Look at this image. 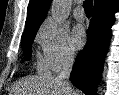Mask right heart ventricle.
Masks as SVG:
<instances>
[{
	"label": "right heart ventricle",
	"mask_w": 119,
	"mask_h": 95,
	"mask_svg": "<svg viewBox=\"0 0 119 95\" xmlns=\"http://www.w3.org/2000/svg\"><path fill=\"white\" fill-rule=\"evenodd\" d=\"M37 70L38 72L40 73H48L49 71V67L45 61V59H43L41 56H38V59H37Z\"/></svg>",
	"instance_id": "1"
}]
</instances>
